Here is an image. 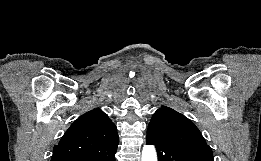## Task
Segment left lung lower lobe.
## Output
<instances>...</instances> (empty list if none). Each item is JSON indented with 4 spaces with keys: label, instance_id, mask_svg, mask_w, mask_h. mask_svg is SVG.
<instances>
[{
    "label": "left lung lower lobe",
    "instance_id": "left-lung-lower-lobe-1",
    "mask_svg": "<svg viewBox=\"0 0 261 161\" xmlns=\"http://www.w3.org/2000/svg\"><path fill=\"white\" fill-rule=\"evenodd\" d=\"M147 145H154L158 161H213V156L182 146H167L146 140Z\"/></svg>",
    "mask_w": 261,
    "mask_h": 161
}]
</instances>
